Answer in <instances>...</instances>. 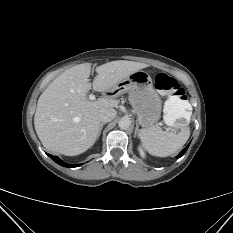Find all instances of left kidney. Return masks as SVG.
<instances>
[{
  "mask_svg": "<svg viewBox=\"0 0 233 233\" xmlns=\"http://www.w3.org/2000/svg\"><path fill=\"white\" fill-rule=\"evenodd\" d=\"M138 151H139L140 156H141L142 158H145V157H146L145 151H144V149L142 148V146H139V147H138Z\"/></svg>",
  "mask_w": 233,
  "mask_h": 233,
  "instance_id": "left-kidney-1",
  "label": "left kidney"
}]
</instances>
